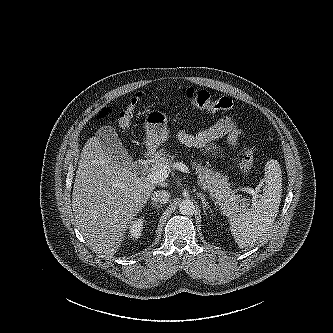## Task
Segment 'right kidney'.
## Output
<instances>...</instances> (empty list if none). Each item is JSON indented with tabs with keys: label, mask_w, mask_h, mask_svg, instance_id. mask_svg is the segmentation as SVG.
Returning <instances> with one entry per match:
<instances>
[{
	"label": "right kidney",
	"mask_w": 333,
	"mask_h": 333,
	"mask_svg": "<svg viewBox=\"0 0 333 333\" xmlns=\"http://www.w3.org/2000/svg\"><path fill=\"white\" fill-rule=\"evenodd\" d=\"M143 223H144V219L139 218L137 220H135L134 222H132L131 226H130V237L133 239H137L141 236L142 231H143Z\"/></svg>",
	"instance_id": "obj_1"
}]
</instances>
